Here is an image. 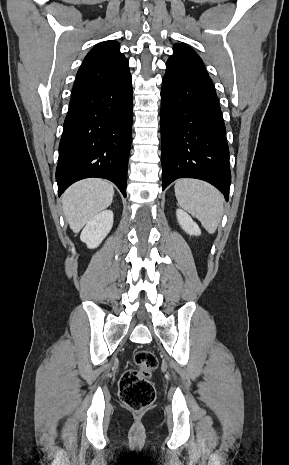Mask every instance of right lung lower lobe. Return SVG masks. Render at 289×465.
Wrapping results in <instances>:
<instances>
[{"label":"right lung lower lobe","mask_w":289,"mask_h":465,"mask_svg":"<svg viewBox=\"0 0 289 465\" xmlns=\"http://www.w3.org/2000/svg\"><path fill=\"white\" fill-rule=\"evenodd\" d=\"M132 120L130 75L113 87L71 99L56 168L59 196L78 180L99 177L126 197Z\"/></svg>","instance_id":"right-lung-lower-lobe-1"}]
</instances>
